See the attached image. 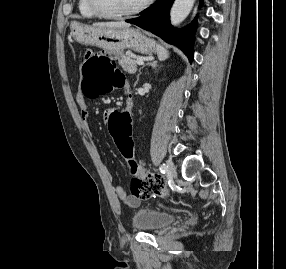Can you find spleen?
I'll return each mask as SVG.
<instances>
[{
	"instance_id": "obj_1",
	"label": "spleen",
	"mask_w": 286,
	"mask_h": 269,
	"mask_svg": "<svg viewBox=\"0 0 286 269\" xmlns=\"http://www.w3.org/2000/svg\"><path fill=\"white\" fill-rule=\"evenodd\" d=\"M157 55L160 61H164L169 57V53L161 45H157Z\"/></svg>"
}]
</instances>
